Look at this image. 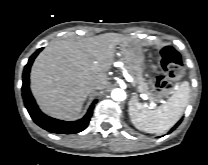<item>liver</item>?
<instances>
[{"label":"liver","instance_id":"liver-1","mask_svg":"<svg viewBox=\"0 0 208 165\" xmlns=\"http://www.w3.org/2000/svg\"><path fill=\"white\" fill-rule=\"evenodd\" d=\"M129 42L117 33L51 42L31 69V90L41 109L59 119L76 118L89 92L87 87L97 85L102 90L107 86L115 47Z\"/></svg>","mask_w":208,"mask_h":165}]
</instances>
